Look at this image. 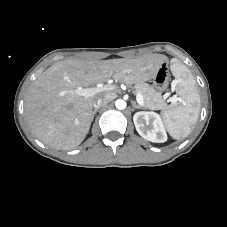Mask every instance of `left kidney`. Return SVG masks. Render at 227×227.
<instances>
[{
	"label": "left kidney",
	"instance_id": "1",
	"mask_svg": "<svg viewBox=\"0 0 227 227\" xmlns=\"http://www.w3.org/2000/svg\"><path fill=\"white\" fill-rule=\"evenodd\" d=\"M138 134L144 139L163 143L167 141V134L161 116L155 112L140 111L133 116Z\"/></svg>",
	"mask_w": 227,
	"mask_h": 227
}]
</instances>
